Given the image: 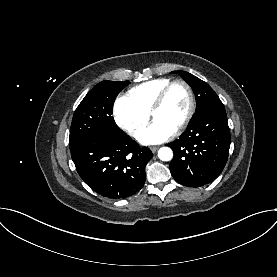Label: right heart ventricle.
Masks as SVG:
<instances>
[{
    "label": "right heart ventricle",
    "instance_id": "obj_1",
    "mask_svg": "<svg viewBox=\"0 0 277 277\" xmlns=\"http://www.w3.org/2000/svg\"><path fill=\"white\" fill-rule=\"evenodd\" d=\"M170 82L168 78L149 80L132 87L127 96L141 112L148 114L160 91Z\"/></svg>",
    "mask_w": 277,
    "mask_h": 277
}]
</instances>
